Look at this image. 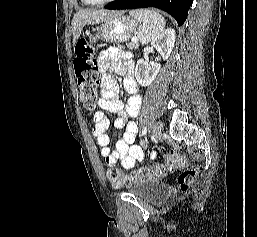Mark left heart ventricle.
Here are the masks:
<instances>
[{
  "mask_svg": "<svg viewBox=\"0 0 257 237\" xmlns=\"http://www.w3.org/2000/svg\"><path fill=\"white\" fill-rule=\"evenodd\" d=\"M93 1H102V0H93Z\"/></svg>",
  "mask_w": 257,
  "mask_h": 237,
  "instance_id": "obj_1",
  "label": "left heart ventricle"
}]
</instances>
